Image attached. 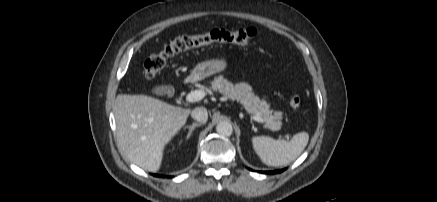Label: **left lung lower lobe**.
<instances>
[{"label":"left lung lower lobe","instance_id":"1","mask_svg":"<svg viewBox=\"0 0 437 202\" xmlns=\"http://www.w3.org/2000/svg\"><path fill=\"white\" fill-rule=\"evenodd\" d=\"M285 169H281V170H274V171H262V173L265 174H276V173H281L283 172Z\"/></svg>","mask_w":437,"mask_h":202}]
</instances>
